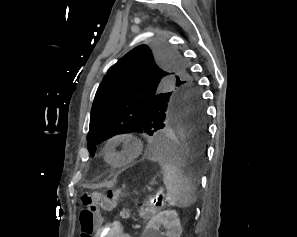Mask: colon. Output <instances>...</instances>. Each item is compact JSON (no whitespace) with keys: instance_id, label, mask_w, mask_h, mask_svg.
<instances>
[{"instance_id":"obj_1","label":"colon","mask_w":297,"mask_h":237,"mask_svg":"<svg viewBox=\"0 0 297 237\" xmlns=\"http://www.w3.org/2000/svg\"><path fill=\"white\" fill-rule=\"evenodd\" d=\"M116 194V191H109L107 194L84 192L81 195L80 237H95L100 220V211H110L115 207Z\"/></svg>"}]
</instances>
